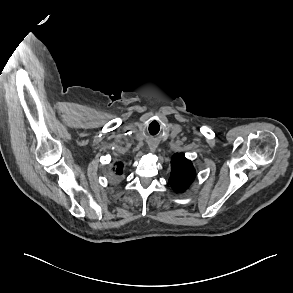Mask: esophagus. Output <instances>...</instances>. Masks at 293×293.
Segmentation results:
<instances>
[{
    "label": "esophagus",
    "mask_w": 293,
    "mask_h": 293,
    "mask_svg": "<svg viewBox=\"0 0 293 293\" xmlns=\"http://www.w3.org/2000/svg\"><path fill=\"white\" fill-rule=\"evenodd\" d=\"M155 148H156V145H155V144H151V145H150V149H151V150H154Z\"/></svg>",
    "instance_id": "34e87169"
}]
</instances>
